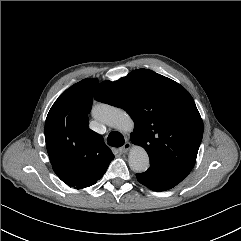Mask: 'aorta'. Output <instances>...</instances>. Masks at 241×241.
<instances>
[{"mask_svg": "<svg viewBox=\"0 0 241 241\" xmlns=\"http://www.w3.org/2000/svg\"><path fill=\"white\" fill-rule=\"evenodd\" d=\"M92 116L115 129L123 132H132L134 121L122 109L107 104H98L92 110ZM128 162L130 168L137 173L145 172L149 168V156L141 146H133L129 152Z\"/></svg>", "mask_w": 241, "mask_h": 241, "instance_id": "762f6f07", "label": "aorta"}]
</instances>
